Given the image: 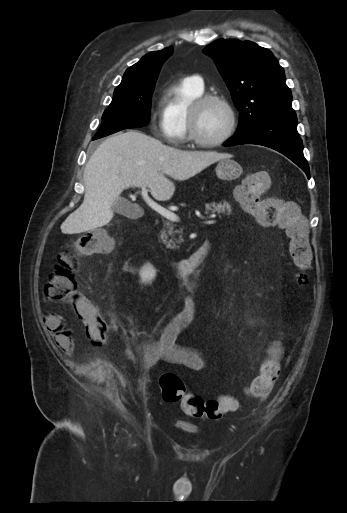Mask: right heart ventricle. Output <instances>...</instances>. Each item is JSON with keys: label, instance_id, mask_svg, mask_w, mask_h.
<instances>
[{"label": "right heart ventricle", "instance_id": "1", "mask_svg": "<svg viewBox=\"0 0 347 513\" xmlns=\"http://www.w3.org/2000/svg\"><path fill=\"white\" fill-rule=\"evenodd\" d=\"M203 94L189 79H182L166 87L162 118L166 124L168 140L182 144L188 139L187 114L191 102Z\"/></svg>", "mask_w": 347, "mask_h": 513}]
</instances>
